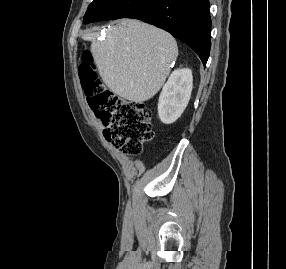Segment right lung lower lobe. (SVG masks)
Returning <instances> with one entry per match:
<instances>
[{
	"label": "right lung lower lobe",
	"instance_id": "right-lung-lower-lobe-1",
	"mask_svg": "<svg viewBox=\"0 0 286 269\" xmlns=\"http://www.w3.org/2000/svg\"><path fill=\"white\" fill-rule=\"evenodd\" d=\"M127 18L164 29L189 45L206 65L211 47L208 0H153Z\"/></svg>",
	"mask_w": 286,
	"mask_h": 269
}]
</instances>
